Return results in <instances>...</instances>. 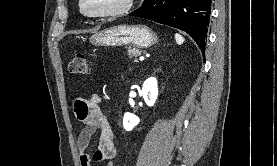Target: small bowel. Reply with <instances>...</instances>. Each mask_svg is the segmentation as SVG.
Listing matches in <instances>:
<instances>
[{"instance_id": "1", "label": "small bowel", "mask_w": 277, "mask_h": 166, "mask_svg": "<svg viewBox=\"0 0 277 166\" xmlns=\"http://www.w3.org/2000/svg\"><path fill=\"white\" fill-rule=\"evenodd\" d=\"M100 98L78 99L74 103V112L82 129L78 135L80 166H94L102 161H109L107 166H115L116 146L111 125L100 108ZM99 130L96 150L90 154L87 150L93 135Z\"/></svg>"}]
</instances>
